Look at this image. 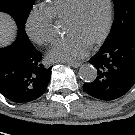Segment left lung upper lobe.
<instances>
[{"label": "left lung upper lobe", "instance_id": "left-lung-upper-lobe-1", "mask_svg": "<svg viewBox=\"0 0 135 135\" xmlns=\"http://www.w3.org/2000/svg\"><path fill=\"white\" fill-rule=\"evenodd\" d=\"M115 20L105 43L127 36L135 30V0H113Z\"/></svg>", "mask_w": 135, "mask_h": 135}]
</instances>
